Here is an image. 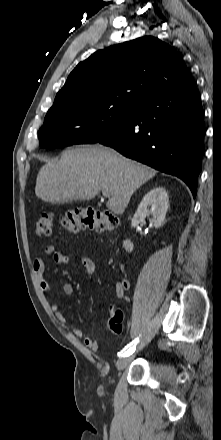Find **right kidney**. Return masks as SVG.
Listing matches in <instances>:
<instances>
[{
	"label": "right kidney",
	"instance_id": "right-kidney-1",
	"mask_svg": "<svg viewBox=\"0 0 221 440\" xmlns=\"http://www.w3.org/2000/svg\"><path fill=\"white\" fill-rule=\"evenodd\" d=\"M168 207L169 198L166 190L163 187L153 188L140 202L131 222L132 227H137L141 220L151 215L149 221L155 228H160L164 223Z\"/></svg>",
	"mask_w": 221,
	"mask_h": 440
}]
</instances>
